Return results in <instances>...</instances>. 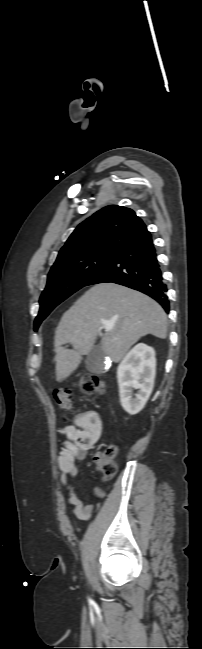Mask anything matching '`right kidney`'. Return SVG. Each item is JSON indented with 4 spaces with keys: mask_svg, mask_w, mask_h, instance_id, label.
<instances>
[{
    "mask_svg": "<svg viewBox=\"0 0 202 649\" xmlns=\"http://www.w3.org/2000/svg\"><path fill=\"white\" fill-rule=\"evenodd\" d=\"M155 350L146 344H137L117 368L119 396L122 407L131 415L139 413L149 399L156 374ZM132 388L139 389L135 397Z\"/></svg>",
    "mask_w": 202,
    "mask_h": 649,
    "instance_id": "ca27d5eb",
    "label": "right kidney"
}]
</instances>
